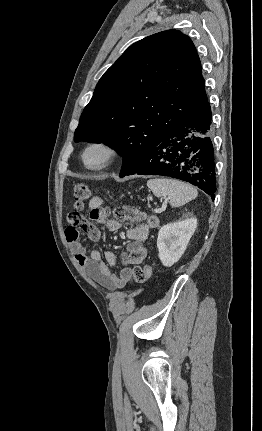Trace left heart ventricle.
I'll return each instance as SVG.
<instances>
[{
	"mask_svg": "<svg viewBox=\"0 0 262 431\" xmlns=\"http://www.w3.org/2000/svg\"><path fill=\"white\" fill-rule=\"evenodd\" d=\"M102 160V152L99 150H93L87 155V163L89 165H97Z\"/></svg>",
	"mask_w": 262,
	"mask_h": 431,
	"instance_id": "b2bd125f",
	"label": "left heart ventricle"
}]
</instances>
